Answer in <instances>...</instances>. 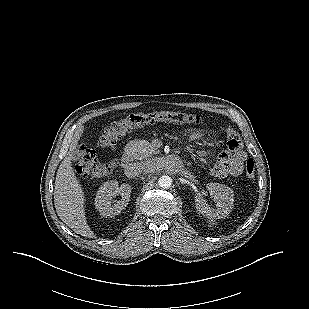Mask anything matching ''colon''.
<instances>
[{
    "mask_svg": "<svg viewBox=\"0 0 309 309\" xmlns=\"http://www.w3.org/2000/svg\"><path fill=\"white\" fill-rule=\"evenodd\" d=\"M174 122L178 124H197L199 117L186 112H154L149 114L132 113L126 117L111 123L107 126L99 139V145L104 149L113 150L116 142L128 132L153 122ZM229 145L238 148L239 137L229 140ZM78 162L76 170L87 178H102L109 175L115 166V160L109 163H102L96 157L95 151L85 145L77 148ZM255 174V165L252 159H248L245 164V176L252 180Z\"/></svg>",
    "mask_w": 309,
    "mask_h": 309,
    "instance_id": "1",
    "label": "colon"
}]
</instances>
